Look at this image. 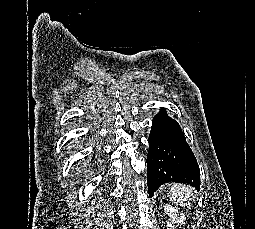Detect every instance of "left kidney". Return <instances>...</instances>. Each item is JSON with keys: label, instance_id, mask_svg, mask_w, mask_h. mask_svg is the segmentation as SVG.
<instances>
[{"label": "left kidney", "instance_id": "5707ae66", "mask_svg": "<svg viewBox=\"0 0 255 229\" xmlns=\"http://www.w3.org/2000/svg\"><path fill=\"white\" fill-rule=\"evenodd\" d=\"M165 213L172 219L174 223L178 225L183 223L186 218L183 214L179 213L178 210L168 204L164 206Z\"/></svg>", "mask_w": 255, "mask_h": 229}]
</instances>
